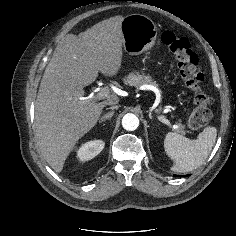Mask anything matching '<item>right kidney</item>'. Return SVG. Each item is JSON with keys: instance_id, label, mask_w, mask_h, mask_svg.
Returning a JSON list of instances; mask_svg holds the SVG:
<instances>
[{"instance_id": "right-kidney-1", "label": "right kidney", "mask_w": 236, "mask_h": 236, "mask_svg": "<svg viewBox=\"0 0 236 236\" xmlns=\"http://www.w3.org/2000/svg\"><path fill=\"white\" fill-rule=\"evenodd\" d=\"M105 143L102 140H94L83 144L77 151V157L80 161H88L97 156L104 148Z\"/></svg>"}]
</instances>
